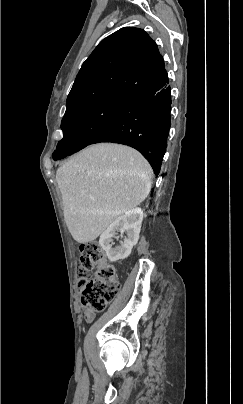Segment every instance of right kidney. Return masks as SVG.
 I'll return each instance as SVG.
<instances>
[{"mask_svg": "<svg viewBox=\"0 0 243 404\" xmlns=\"http://www.w3.org/2000/svg\"><path fill=\"white\" fill-rule=\"evenodd\" d=\"M143 220V212L141 208H133L125 212L124 216H119L115 222L110 224L109 228L100 236L99 246L105 250L108 260L110 262H117V260H124L131 254V250L139 240L141 224ZM116 232H120L123 236L124 242H120V246L112 248L113 240Z\"/></svg>", "mask_w": 243, "mask_h": 404, "instance_id": "obj_1", "label": "right kidney"}]
</instances>
